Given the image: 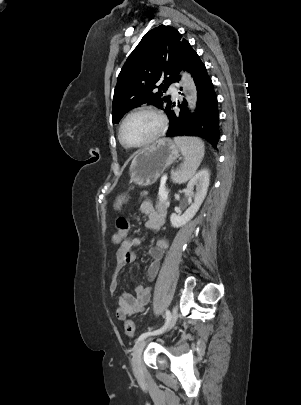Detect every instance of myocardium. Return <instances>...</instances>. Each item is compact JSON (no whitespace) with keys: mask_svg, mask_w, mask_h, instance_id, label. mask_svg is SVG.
I'll return each mask as SVG.
<instances>
[{"mask_svg":"<svg viewBox=\"0 0 301 405\" xmlns=\"http://www.w3.org/2000/svg\"><path fill=\"white\" fill-rule=\"evenodd\" d=\"M140 113H150L152 115H154L158 121H159V126L158 129L156 130V132L147 140H145L142 143L139 144H128L127 142H125V140L123 139V128L125 126V123L128 121L129 118H131L134 115L140 114ZM167 127V119L165 117V115L158 109L154 108V107H140L137 108L131 112H129L122 120L120 127H119V131H118V138L120 143L129 149H138V148H142L145 147L151 143H153L154 141H156L159 137H161V135L164 133L165 129Z\"/></svg>","mask_w":301,"mask_h":405,"instance_id":"myocardium-1","label":"myocardium"}]
</instances>
